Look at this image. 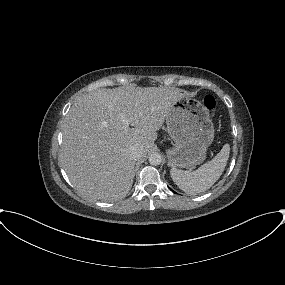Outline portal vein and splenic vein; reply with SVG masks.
<instances>
[{"label": "portal vein and splenic vein", "mask_w": 285, "mask_h": 285, "mask_svg": "<svg viewBox=\"0 0 285 285\" xmlns=\"http://www.w3.org/2000/svg\"><path fill=\"white\" fill-rule=\"evenodd\" d=\"M121 119H122V122L124 124L125 127H128L129 125V122L128 120L126 119V117L124 115H121Z\"/></svg>", "instance_id": "portal-vein-and-splenic-vein-1"}]
</instances>
